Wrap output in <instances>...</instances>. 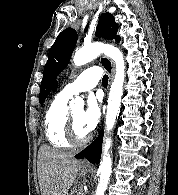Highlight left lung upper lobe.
Wrapping results in <instances>:
<instances>
[{"mask_svg": "<svg viewBox=\"0 0 178 195\" xmlns=\"http://www.w3.org/2000/svg\"><path fill=\"white\" fill-rule=\"evenodd\" d=\"M88 24L84 29L87 31ZM118 25L115 23L114 17L110 13H103L100 16L96 36L104 39H115L119 42L120 37L117 36ZM77 43V32L72 28L62 31L56 41L52 45L48 54V61L44 67L43 79L41 81L39 101L43 103L47 95L51 91L53 79L67 66L71 54Z\"/></svg>", "mask_w": 178, "mask_h": 195, "instance_id": "1", "label": "left lung upper lobe"}]
</instances>
